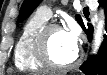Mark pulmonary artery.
Segmentation results:
<instances>
[{
  "instance_id": "obj_1",
  "label": "pulmonary artery",
  "mask_w": 107,
  "mask_h": 75,
  "mask_svg": "<svg viewBox=\"0 0 107 75\" xmlns=\"http://www.w3.org/2000/svg\"><path fill=\"white\" fill-rule=\"evenodd\" d=\"M38 14H40L43 18L45 19H49L52 15V11H51V8L50 6L48 5H42L38 8V11H37Z\"/></svg>"
}]
</instances>
